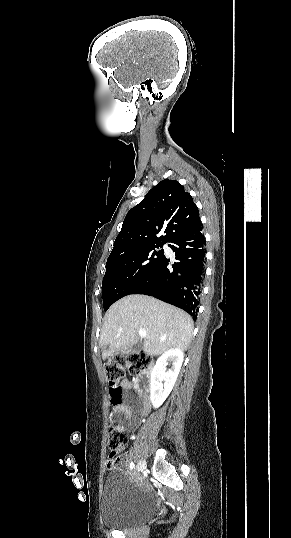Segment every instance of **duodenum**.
Masks as SVG:
<instances>
[{
	"label": "duodenum",
	"instance_id": "1",
	"mask_svg": "<svg viewBox=\"0 0 291 538\" xmlns=\"http://www.w3.org/2000/svg\"><path fill=\"white\" fill-rule=\"evenodd\" d=\"M147 368L149 370H152L154 368V365L152 363H149L147 365ZM134 381L138 383V393L144 395H146V392H149L151 390L154 384L152 377H150L148 374H137V376L134 378Z\"/></svg>",
	"mask_w": 291,
	"mask_h": 538
}]
</instances>
